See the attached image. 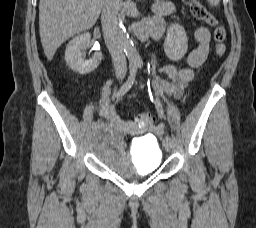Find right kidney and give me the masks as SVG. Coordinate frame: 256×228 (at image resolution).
Listing matches in <instances>:
<instances>
[{
  "label": "right kidney",
  "mask_w": 256,
  "mask_h": 228,
  "mask_svg": "<svg viewBox=\"0 0 256 228\" xmlns=\"http://www.w3.org/2000/svg\"><path fill=\"white\" fill-rule=\"evenodd\" d=\"M91 35L82 33L74 37L67 45L65 51V61L67 65L75 72L85 75L94 71L102 60V53L96 52L92 59L84 60L82 57V47L89 44Z\"/></svg>",
  "instance_id": "obj_1"
}]
</instances>
